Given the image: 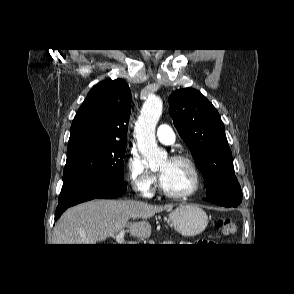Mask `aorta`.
Returning <instances> with one entry per match:
<instances>
[{
  "mask_svg": "<svg viewBox=\"0 0 294 294\" xmlns=\"http://www.w3.org/2000/svg\"><path fill=\"white\" fill-rule=\"evenodd\" d=\"M162 108L160 97H148L135 127L139 150L152 170L157 169L167 159V152L158 147L155 137L156 124L162 114Z\"/></svg>",
  "mask_w": 294,
  "mask_h": 294,
  "instance_id": "aorta-1",
  "label": "aorta"
}]
</instances>
